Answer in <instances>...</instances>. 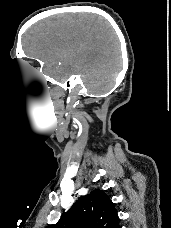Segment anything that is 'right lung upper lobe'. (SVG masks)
<instances>
[{
	"mask_svg": "<svg viewBox=\"0 0 171 228\" xmlns=\"http://www.w3.org/2000/svg\"><path fill=\"white\" fill-rule=\"evenodd\" d=\"M113 202L102 190L83 196L47 228H119Z\"/></svg>",
	"mask_w": 171,
	"mask_h": 228,
	"instance_id": "obj_1",
	"label": "right lung upper lobe"
}]
</instances>
